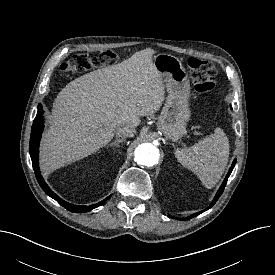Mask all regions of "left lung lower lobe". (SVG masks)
<instances>
[{
  "label": "left lung lower lobe",
  "mask_w": 275,
  "mask_h": 275,
  "mask_svg": "<svg viewBox=\"0 0 275 275\" xmlns=\"http://www.w3.org/2000/svg\"><path fill=\"white\" fill-rule=\"evenodd\" d=\"M235 162H236V159L233 161V164H232V166L230 167L229 172H228V174H227L225 180L223 181L222 185L220 186L218 192L216 193V195H215V197H214V199H213V202L210 204L209 207H207V208L205 209V211L208 210V209H210V208L216 203V201H217L218 198L221 196V194L223 193L224 188H225L226 183H227V179H228V177L230 176V174H231V172H232V170H233V168H234V166H235ZM202 212H204V211L195 213V214H193V215H191V216H189V217H187V218H185V219H183V220L191 219V218H193L194 216H197V215H199V214L202 213Z\"/></svg>",
  "instance_id": "left-lung-lower-lobe-1"
}]
</instances>
